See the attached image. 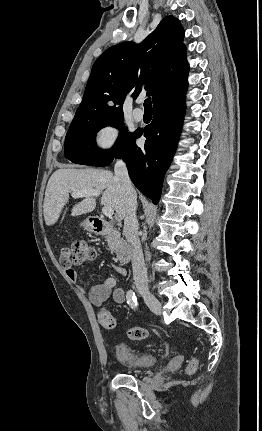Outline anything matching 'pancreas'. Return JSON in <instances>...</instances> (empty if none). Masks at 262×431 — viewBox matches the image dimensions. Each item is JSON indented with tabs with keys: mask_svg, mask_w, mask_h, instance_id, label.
Here are the masks:
<instances>
[{
	"mask_svg": "<svg viewBox=\"0 0 262 431\" xmlns=\"http://www.w3.org/2000/svg\"><path fill=\"white\" fill-rule=\"evenodd\" d=\"M106 241L108 243L109 250L111 251V253H117L122 243L119 232L116 230H111L110 232H108V234L106 235Z\"/></svg>",
	"mask_w": 262,
	"mask_h": 431,
	"instance_id": "1",
	"label": "pancreas"
}]
</instances>
